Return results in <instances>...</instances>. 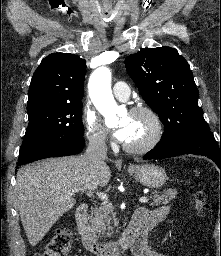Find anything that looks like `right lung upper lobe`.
<instances>
[{"label": "right lung upper lobe", "instance_id": "right-lung-upper-lobe-1", "mask_svg": "<svg viewBox=\"0 0 221 256\" xmlns=\"http://www.w3.org/2000/svg\"><path fill=\"white\" fill-rule=\"evenodd\" d=\"M86 61L70 53L45 57L31 80L27 110L48 104L82 103Z\"/></svg>", "mask_w": 221, "mask_h": 256}]
</instances>
